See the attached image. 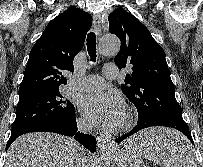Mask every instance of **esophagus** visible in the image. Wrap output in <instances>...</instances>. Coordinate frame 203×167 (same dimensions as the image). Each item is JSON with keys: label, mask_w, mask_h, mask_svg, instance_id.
<instances>
[{"label": "esophagus", "mask_w": 203, "mask_h": 167, "mask_svg": "<svg viewBox=\"0 0 203 167\" xmlns=\"http://www.w3.org/2000/svg\"><path fill=\"white\" fill-rule=\"evenodd\" d=\"M93 23H94V28L95 31L97 32L98 35L101 34V16L99 14H94L93 15ZM111 137L109 135H99L97 137V145L100 148H104L108 145Z\"/></svg>", "instance_id": "esophagus-1"}]
</instances>
